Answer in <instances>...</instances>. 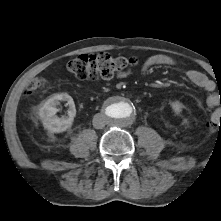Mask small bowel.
Returning a JSON list of instances; mask_svg holds the SVG:
<instances>
[{
	"instance_id": "obj_1",
	"label": "small bowel",
	"mask_w": 221,
	"mask_h": 221,
	"mask_svg": "<svg viewBox=\"0 0 221 221\" xmlns=\"http://www.w3.org/2000/svg\"><path fill=\"white\" fill-rule=\"evenodd\" d=\"M173 64L174 61L170 57L162 54H157L149 57L145 61L142 71L143 73H146L152 67L169 66ZM127 75L128 72H124L121 74V77H126ZM186 76L191 83L207 92L206 104L208 107L215 108L219 106V104H221V98L215 91V83L213 82V80L197 70L187 71Z\"/></svg>"
}]
</instances>
